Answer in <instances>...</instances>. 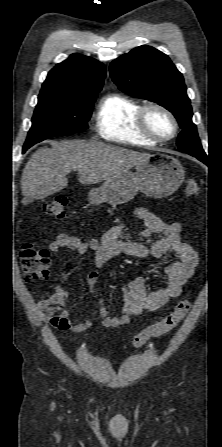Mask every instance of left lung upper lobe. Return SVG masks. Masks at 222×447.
I'll list each match as a JSON object with an SVG mask.
<instances>
[{
	"label": "left lung upper lobe",
	"instance_id": "left-lung-upper-lobe-1",
	"mask_svg": "<svg viewBox=\"0 0 222 447\" xmlns=\"http://www.w3.org/2000/svg\"><path fill=\"white\" fill-rule=\"evenodd\" d=\"M110 75L124 93L158 103L172 112L182 129L178 148L191 155L206 157L192 122L193 113L183 76L166 54L151 46L136 47L112 61Z\"/></svg>",
	"mask_w": 222,
	"mask_h": 447
}]
</instances>
